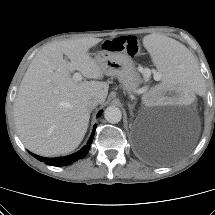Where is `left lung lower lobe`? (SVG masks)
<instances>
[{"label": "left lung lower lobe", "instance_id": "left-lung-lower-lobe-1", "mask_svg": "<svg viewBox=\"0 0 215 215\" xmlns=\"http://www.w3.org/2000/svg\"><path fill=\"white\" fill-rule=\"evenodd\" d=\"M141 151L145 156L151 159H158L160 151L158 148L151 147L149 145H141Z\"/></svg>", "mask_w": 215, "mask_h": 215}]
</instances>
